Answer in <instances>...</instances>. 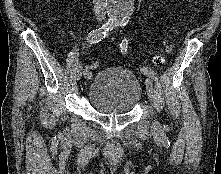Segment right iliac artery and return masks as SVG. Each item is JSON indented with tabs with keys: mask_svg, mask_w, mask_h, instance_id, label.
<instances>
[{
	"mask_svg": "<svg viewBox=\"0 0 221 174\" xmlns=\"http://www.w3.org/2000/svg\"><path fill=\"white\" fill-rule=\"evenodd\" d=\"M115 26V21L114 20H108L105 24H103L100 28L92 30L88 37L87 40L90 44L98 43L101 41L103 38H105L106 34L112 30ZM84 77L86 79H91L92 73L89 69H86L84 71Z\"/></svg>",
	"mask_w": 221,
	"mask_h": 174,
	"instance_id": "1",
	"label": "right iliac artery"
}]
</instances>
